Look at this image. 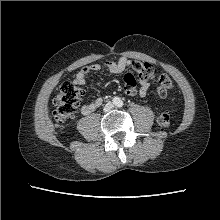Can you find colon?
Segmentation results:
<instances>
[{"label": "colon", "mask_w": 220, "mask_h": 220, "mask_svg": "<svg viewBox=\"0 0 220 220\" xmlns=\"http://www.w3.org/2000/svg\"><path fill=\"white\" fill-rule=\"evenodd\" d=\"M136 76L141 79L152 80L160 96H166L174 86L169 75L158 73L155 67L147 62H132V72L126 73L123 78L125 87L136 88ZM81 96L82 90L75 83L66 81L61 84L54 99V120L58 125L66 123L74 116L80 104ZM157 121L161 128H169L172 121L171 112H162Z\"/></svg>", "instance_id": "obj_1"}]
</instances>
